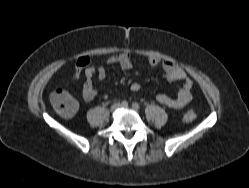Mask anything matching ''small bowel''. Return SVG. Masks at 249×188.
I'll list each match as a JSON object with an SVG mask.
<instances>
[{
    "mask_svg": "<svg viewBox=\"0 0 249 188\" xmlns=\"http://www.w3.org/2000/svg\"><path fill=\"white\" fill-rule=\"evenodd\" d=\"M147 61L151 66H161L163 70V79L166 83H174L176 81H183L177 96L171 97L166 94H158L157 101L172 109H179L188 104L192 100L193 82L187 76L186 72L178 65L159 59L156 56L150 55ZM107 64L118 65L122 69H130L133 65V56L130 53H119L111 55L107 58ZM84 73L86 81L83 85V98L90 102L97 96V91L93 85V78L104 79L107 75L104 66H93L90 59L87 57L79 58L76 62L74 78H78L81 73ZM140 86L138 83L131 85L132 91H138Z\"/></svg>",
    "mask_w": 249,
    "mask_h": 188,
    "instance_id": "1",
    "label": "small bowel"
}]
</instances>
